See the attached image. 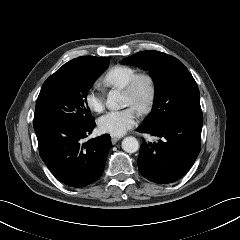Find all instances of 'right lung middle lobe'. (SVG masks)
Instances as JSON below:
<instances>
[{
	"label": "right lung middle lobe",
	"instance_id": "right-lung-middle-lobe-1",
	"mask_svg": "<svg viewBox=\"0 0 240 240\" xmlns=\"http://www.w3.org/2000/svg\"><path fill=\"white\" fill-rule=\"evenodd\" d=\"M109 59L86 69L51 75L37 99L34 122L60 121L82 126L94 121L87 104V93L95 80L107 69Z\"/></svg>",
	"mask_w": 240,
	"mask_h": 240
}]
</instances>
